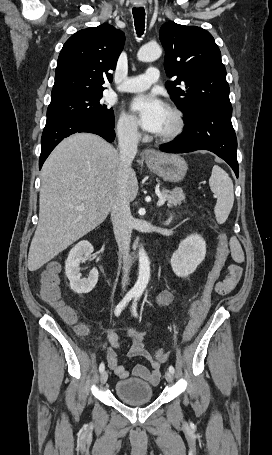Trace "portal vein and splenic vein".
I'll return each instance as SVG.
<instances>
[{
    "label": "portal vein and splenic vein",
    "mask_w": 272,
    "mask_h": 455,
    "mask_svg": "<svg viewBox=\"0 0 272 455\" xmlns=\"http://www.w3.org/2000/svg\"><path fill=\"white\" fill-rule=\"evenodd\" d=\"M165 201H166V196H162V197H160V199L158 200L157 205H158V206H162V205L165 203ZM79 208H80V209H84V206L82 205V206H80Z\"/></svg>",
    "instance_id": "1"
}]
</instances>
